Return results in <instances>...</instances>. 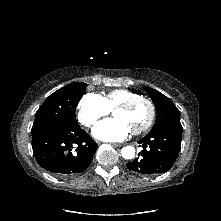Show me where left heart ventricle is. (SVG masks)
I'll list each match as a JSON object with an SVG mask.
<instances>
[{"instance_id": "left-heart-ventricle-1", "label": "left heart ventricle", "mask_w": 221, "mask_h": 221, "mask_svg": "<svg viewBox=\"0 0 221 221\" xmlns=\"http://www.w3.org/2000/svg\"><path fill=\"white\" fill-rule=\"evenodd\" d=\"M113 116L123 120L131 130L142 126L149 117V107L145 103H140L132 110H115Z\"/></svg>"}]
</instances>
